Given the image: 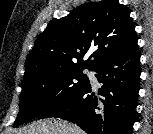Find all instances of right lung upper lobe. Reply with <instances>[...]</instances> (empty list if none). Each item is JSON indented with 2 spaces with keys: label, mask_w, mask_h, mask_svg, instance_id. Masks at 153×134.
Returning <instances> with one entry per match:
<instances>
[{
  "label": "right lung upper lobe",
  "mask_w": 153,
  "mask_h": 134,
  "mask_svg": "<svg viewBox=\"0 0 153 134\" xmlns=\"http://www.w3.org/2000/svg\"><path fill=\"white\" fill-rule=\"evenodd\" d=\"M136 44L135 27L125 6L117 0L86 3L49 22L26 59L23 80L60 67L92 70L109 56ZM93 48L97 50L84 61V55Z\"/></svg>",
  "instance_id": "cb5924a9"
}]
</instances>
